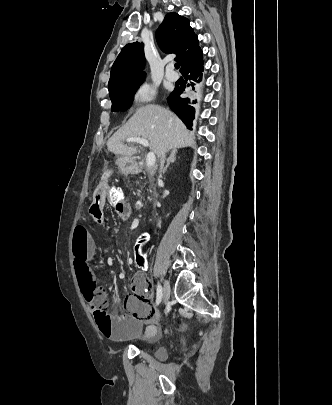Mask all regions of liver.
I'll return each mask as SVG.
<instances>
[{
    "label": "liver",
    "instance_id": "obj_1",
    "mask_svg": "<svg viewBox=\"0 0 332 405\" xmlns=\"http://www.w3.org/2000/svg\"><path fill=\"white\" fill-rule=\"evenodd\" d=\"M130 137L149 140V148L158 158L168 150L195 144L193 135L181 120L171 111L157 105L138 108L125 126L109 138L108 151L122 157L136 154L137 147L124 144V141Z\"/></svg>",
    "mask_w": 332,
    "mask_h": 405
}]
</instances>
